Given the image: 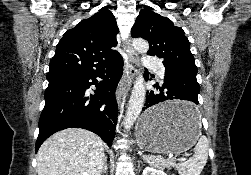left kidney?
Returning a JSON list of instances; mask_svg holds the SVG:
<instances>
[{
	"mask_svg": "<svg viewBox=\"0 0 251 175\" xmlns=\"http://www.w3.org/2000/svg\"><path fill=\"white\" fill-rule=\"evenodd\" d=\"M143 175H166L163 169H154V167H145Z\"/></svg>",
	"mask_w": 251,
	"mask_h": 175,
	"instance_id": "1",
	"label": "left kidney"
}]
</instances>
